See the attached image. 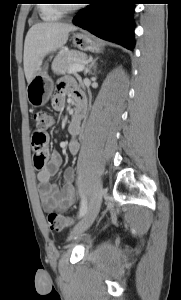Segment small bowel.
<instances>
[{
  "label": "small bowel",
  "mask_w": 181,
  "mask_h": 300,
  "mask_svg": "<svg viewBox=\"0 0 181 300\" xmlns=\"http://www.w3.org/2000/svg\"><path fill=\"white\" fill-rule=\"evenodd\" d=\"M71 96L74 98L76 104L82 103L85 108V97L79 92L71 79H60L56 85L55 94L52 99V107L60 111L64 108L66 97ZM85 113V109L78 117V119H72L68 132L70 139L67 143L69 152L72 155L77 154L79 150V142L77 136L81 131V123ZM44 164L42 167H35L38 169L37 178L39 181V195L45 211L68 210L74 203V179L75 170L72 167H68L63 172V183L56 184L52 181L53 177L58 173L61 165V156L56 152L44 153Z\"/></svg>",
  "instance_id": "obj_1"
}]
</instances>
